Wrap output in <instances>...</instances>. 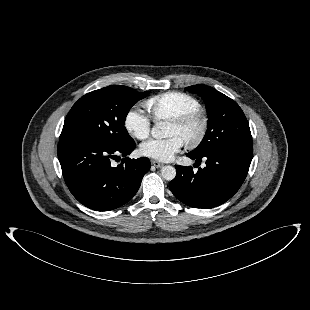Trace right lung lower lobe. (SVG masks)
<instances>
[{
    "label": "right lung lower lobe",
    "instance_id": "98d812e1",
    "mask_svg": "<svg viewBox=\"0 0 310 310\" xmlns=\"http://www.w3.org/2000/svg\"><path fill=\"white\" fill-rule=\"evenodd\" d=\"M135 146L134 140L122 146L92 139L60 140L58 159L73 196L96 211H109L132 199L151 167L149 159L124 158L116 167L111 159L125 157Z\"/></svg>",
    "mask_w": 310,
    "mask_h": 310
}]
</instances>
